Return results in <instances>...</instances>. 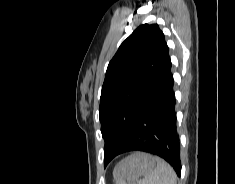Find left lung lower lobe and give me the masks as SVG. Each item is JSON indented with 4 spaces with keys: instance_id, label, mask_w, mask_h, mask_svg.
<instances>
[{
    "instance_id": "1",
    "label": "left lung lower lobe",
    "mask_w": 235,
    "mask_h": 184,
    "mask_svg": "<svg viewBox=\"0 0 235 184\" xmlns=\"http://www.w3.org/2000/svg\"><path fill=\"white\" fill-rule=\"evenodd\" d=\"M171 66L166 46L155 82L138 113L131 135L118 155L139 150L160 156L180 177V146Z\"/></svg>"
}]
</instances>
